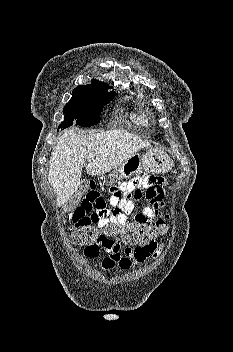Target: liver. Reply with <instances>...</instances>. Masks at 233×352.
I'll use <instances>...</instances> for the list:
<instances>
[{"mask_svg":"<svg viewBox=\"0 0 233 352\" xmlns=\"http://www.w3.org/2000/svg\"><path fill=\"white\" fill-rule=\"evenodd\" d=\"M148 146L147 141L124 130L91 134L76 133L74 129L65 131L52 151L48 175L57 205L66 204L77 191L86 160L89 175H103Z\"/></svg>","mask_w":233,"mask_h":352,"instance_id":"6515ba94","label":"liver"}]
</instances>
